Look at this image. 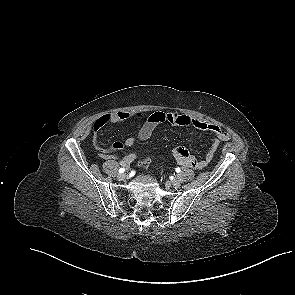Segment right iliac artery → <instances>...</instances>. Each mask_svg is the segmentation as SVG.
<instances>
[{"mask_svg":"<svg viewBox=\"0 0 295 295\" xmlns=\"http://www.w3.org/2000/svg\"><path fill=\"white\" fill-rule=\"evenodd\" d=\"M124 171H125L124 168H120V169H119V173H123Z\"/></svg>","mask_w":295,"mask_h":295,"instance_id":"obj_1","label":"right iliac artery"}]
</instances>
